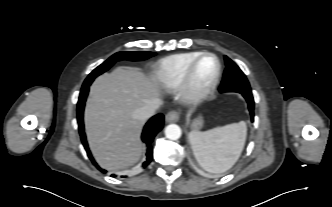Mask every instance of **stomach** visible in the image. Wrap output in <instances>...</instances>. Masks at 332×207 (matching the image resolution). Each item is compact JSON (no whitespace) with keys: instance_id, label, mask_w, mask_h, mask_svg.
I'll list each match as a JSON object with an SVG mask.
<instances>
[{"instance_id":"0dacf381","label":"stomach","mask_w":332,"mask_h":207,"mask_svg":"<svg viewBox=\"0 0 332 207\" xmlns=\"http://www.w3.org/2000/svg\"><path fill=\"white\" fill-rule=\"evenodd\" d=\"M202 124H203L202 117H198L192 121L191 127L193 130H198L202 126Z\"/></svg>"}]
</instances>
